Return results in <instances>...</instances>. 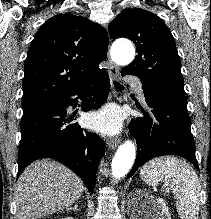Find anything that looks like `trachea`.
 Listing matches in <instances>:
<instances>
[{"label": "trachea", "mask_w": 211, "mask_h": 219, "mask_svg": "<svg viewBox=\"0 0 211 219\" xmlns=\"http://www.w3.org/2000/svg\"><path fill=\"white\" fill-rule=\"evenodd\" d=\"M114 86L117 88V89H122L123 87L117 83L116 81H114Z\"/></svg>", "instance_id": "1"}]
</instances>
